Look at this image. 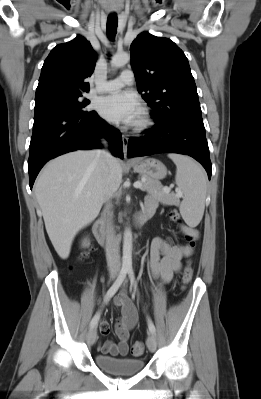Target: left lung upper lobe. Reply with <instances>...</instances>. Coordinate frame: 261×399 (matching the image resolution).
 I'll return each mask as SVG.
<instances>
[{
	"label": "left lung upper lobe",
	"instance_id": "5c2ea615",
	"mask_svg": "<svg viewBox=\"0 0 261 399\" xmlns=\"http://www.w3.org/2000/svg\"><path fill=\"white\" fill-rule=\"evenodd\" d=\"M137 89L164 123L186 112H201L197 89L184 52L170 39L143 32L130 47Z\"/></svg>",
	"mask_w": 261,
	"mask_h": 399
}]
</instances>
